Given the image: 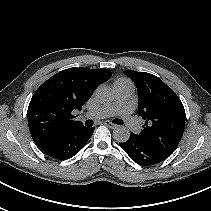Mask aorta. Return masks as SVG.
<instances>
[{
    "label": "aorta",
    "mask_w": 211,
    "mask_h": 211,
    "mask_svg": "<svg viewBox=\"0 0 211 211\" xmlns=\"http://www.w3.org/2000/svg\"><path fill=\"white\" fill-rule=\"evenodd\" d=\"M95 98L100 103H106L114 99L113 93L107 88H100L95 93ZM130 137V131L125 126H117L113 130V138L117 142H125Z\"/></svg>",
    "instance_id": "aorta-1"
}]
</instances>
